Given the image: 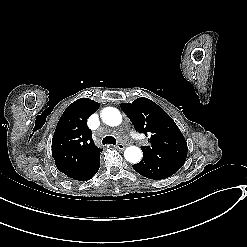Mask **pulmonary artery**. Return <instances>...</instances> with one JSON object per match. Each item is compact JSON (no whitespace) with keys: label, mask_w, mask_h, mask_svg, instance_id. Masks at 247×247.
<instances>
[{"label":"pulmonary artery","mask_w":247,"mask_h":247,"mask_svg":"<svg viewBox=\"0 0 247 247\" xmlns=\"http://www.w3.org/2000/svg\"><path fill=\"white\" fill-rule=\"evenodd\" d=\"M130 133H133V130H130Z\"/></svg>","instance_id":"pulmonary-artery-1"}]
</instances>
